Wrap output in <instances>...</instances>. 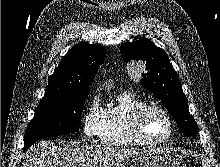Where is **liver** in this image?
Returning a JSON list of instances; mask_svg holds the SVG:
<instances>
[{
    "mask_svg": "<svg viewBox=\"0 0 220 167\" xmlns=\"http://www.w3.org/2000/svg\"><path fill=\"white\" fill-rule=\"evenodd\" d=\"M130 148L69 141H39L24 156L22 167H113Z\"/></svg>",
    "mask_w": 220,
    "mask_h": 167,
    "instance_id": "obj_1",
    "label": "liver"
}]
</instances>
